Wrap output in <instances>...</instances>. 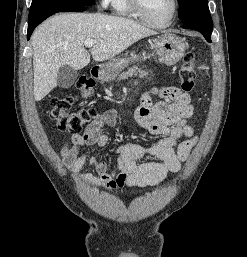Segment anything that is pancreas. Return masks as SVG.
<instances>
[{"mask_svg":"<svg viewBox=\"0 0 247 257\" xmlns=\"http://www.w3.org/2000/svg\"><path fill=\"white\" fill-rule=\"evenodd\" d=\"M139 73V76L140 77H145L148 75V72L147 71H142L140 68H138L137 66H133L131 68H128L127 71L125 72H122L119 77L117 78L118 81L120 80H125L127 79L128 77H132L133 75L134 76H137Z\"/></svg>","mask_w":247,"mask_h":257,"instance_id":"cf45deb5","label":"pancreas"}]
</instances>
